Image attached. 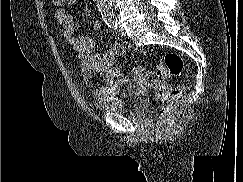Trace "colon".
Returning a JSON list of instances; mask_svg holds the SVG:
<instances>
[{"mask_svg":"<svg viewBox=\"0 0 243 182\" xmlns=\"http://www.w3.org/2000/svg\"><path fill=\"white\" fill-rule=\"evenodd\" d=\"M70 2L71 0H53V3L57 6H65ZM184 68L183 58L175 52H168L165 54L163 62L155 70L145 66H138L132 69V74L138 80L147 81L153 76H179L183 73ZM184 87V84H178L158 94V114L161 118H165L169 114L175 101L182 95Z\"/></svg>","mask_w":243,"mask_h":182,"instance_id":"5ec220e1","label":"colon"}]
</instances>
